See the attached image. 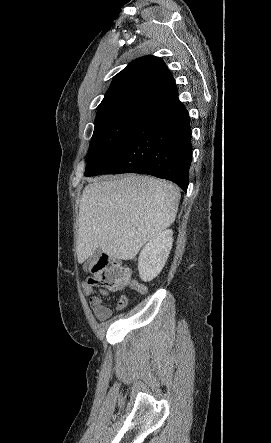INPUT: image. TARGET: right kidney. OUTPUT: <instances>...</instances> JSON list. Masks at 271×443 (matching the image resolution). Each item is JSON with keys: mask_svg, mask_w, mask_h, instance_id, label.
I'll use <instances>...</instances> for the list:
<instances>
[{"mask_svg": "<svg viewBox=\"0 0 271 443\" xmlns=\"http://www.w3.org/2000/svg\"><path fill=\"white\" fill-rule=\"evenodd\" d=\"M172 229H165L151 237L139 253L138 269L143 281L154 279L165 265L173 241Z\"/></svg>", "mask_w": 271, "mask_h": 443, "instance_id": "right-kidney-1", "label": "right kidney"}]
</instances>
